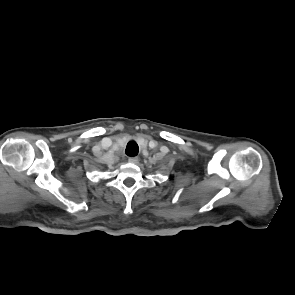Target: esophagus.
I'll list each match as a JSON object with an SVG mask.
<instances>
[{"label":"esophagus","instance_id":"obj_1","mask_svg":"<svg viewBox=\"0 0 295 295\" xmlns=\"http://www.w3.org/2000/svg\"><path fill=\"white\" fill-rule=\"evenodd\" d=\"M128 161H129L130 163L136 164V163L139 162V158H138V157H130V158L128 159Z\"/></svg>","mask_w":295,"mask_h":295}]
</instances>
